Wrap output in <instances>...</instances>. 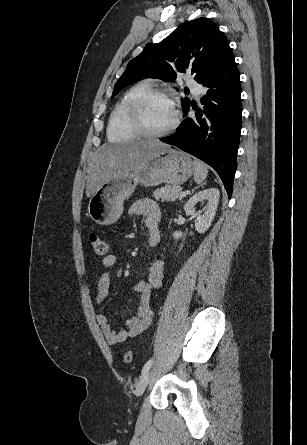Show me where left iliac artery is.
<instances>
[{"label": "left iliac artery", "instance_id": "left-iliac-artery-1", "mask_svg": "<svg viewBox=\"0 0 307 445\" xmlns=\"http://www.w3.org/2000/svg\"><path fill=\"white\" fill-rule=\"evenodd\" d=\"M152 363H153V358L149 359V360L145 363V365L143 366V369H142V375H143L144 373H146V372L150 369Z\"/></svg>", "mask_w": 307, "mask_h": 445}]
</instances>
